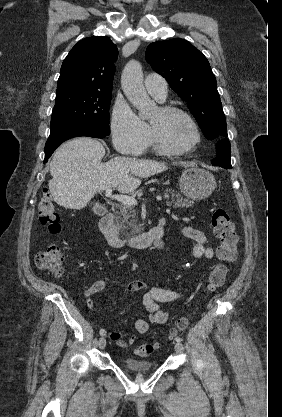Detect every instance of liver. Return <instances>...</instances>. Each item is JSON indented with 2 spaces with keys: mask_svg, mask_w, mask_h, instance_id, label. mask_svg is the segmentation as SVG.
<instances>
[{
  "mask_svg": "<svg viewBox=\"0 0 282 417\" xmlns=\"http://www.w3.org/2000/svg\"><path fill=\"white\" fill-rule=\"evenodd\" d=\"M105 148L90 136H77L61 144L50 162L49 190L65 209H84L99 190L115 186L119 192H132L147 178L167 170L165 162L114 156L101 162ZM140 176V178H136Z\"/></svg>",
  "mask_w": 282,
  "mask_h": 417,
  "instance_id": "1",
  "label": "liver"
}]
</instances>
